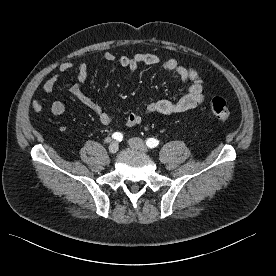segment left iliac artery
Here are the masks:
<instances>
[{
    "label": "left iliac artery",
    "mask_w": 276,
    "mask_h": 276,
    "mask_svg": "<svg viewBox=\"0 0 276 276\" xmlns=\"http://www.w3.org/2000/svg\"><path fill=\"white\" fill-rule=\"evenodd\" d=\"M159 144V141L157 139H154V138H148L146 140V145L149 147V148H155L157 147Z\"/></svg>",
    "instance_id": "44dca946"
}]
</instances>
